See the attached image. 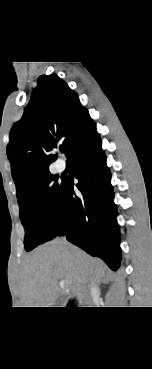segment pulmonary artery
<instances>
[{"label": "pulmonary artery", "instance_id": "e3ab8cb5", "mask_svg": "<svg viewBox=\"0 0 152 369\" xmlns=\"http://www.w3.org/2000/svg\"><path fill=\"white\" fill-rule=\"evenodd\" d=\"M56 169L59 171V172H62V171H64V169H65V163L63 162V161H57L56 162Z\"/></svg>", "mask_w": 152, "mask_h": 369}]
</instances>
